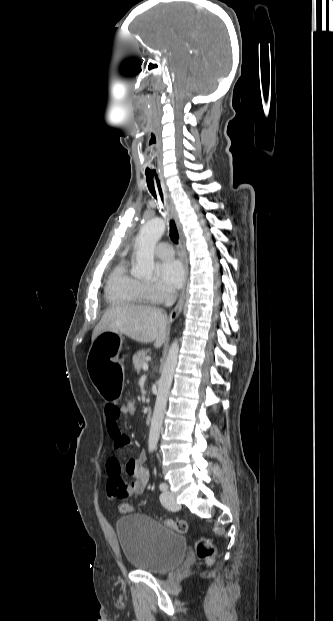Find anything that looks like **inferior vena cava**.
<instances>
[{"mask_svg":"<svg viewBox=\"0 0 333 621\" xmlns=\"http://www.w3.org/2000/svg\"><path fill=\"white\" fill-rule=\"evenodd\" d=\"M177 299V292L174 290H171L169 292L166 293L165 295V306L166 307H170L172 306Z\"/></svg>","mask_w":333,"mask_h":621,"instance_id":"inferior-vena-cava-1","label":"inferior vena cava"}]
</instances>
